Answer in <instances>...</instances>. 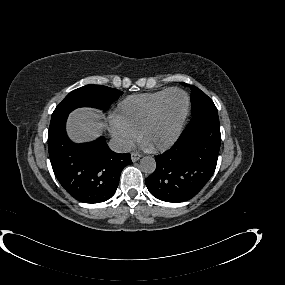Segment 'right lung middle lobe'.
Here are the masks:
<instances>
[{
    "instance_id": "1",
    "label": "right lung middle lobe",
    "mask_w": 285,
    "mask_h": 285,
    "mask_svg": "<svg viewBox=\"0 0 285 285\" xmlns=\"http://www.w3.org/2000/svg\"><path fill=\"white\" fill-rule=\"evenodd\" d=\"M123 93L102 85H86L70 92L54 110L51 121L68 115L79 107H95L107 110Z\"/></svg>"
}]
</instances>
